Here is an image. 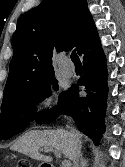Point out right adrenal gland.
Listing matches in <instances>:
<instances>
[{"label": "right adrenal gland", "mask_w": 125, "mask_h": 167, "mask_svg": "<svg viewBox=\"0 0 125 167\" xmlns=\"http://www.w3.org/2000/svg\"><path fill=\"white\" fill-rule=\"evenodd\" d=\"M88 160L84 159L83 154H80V167H87Z\"/></svg>", "instance_id": "obj_1"}]
</instances>
